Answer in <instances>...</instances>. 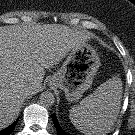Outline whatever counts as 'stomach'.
Returning a JSON list of instances; mask_svg holds the SVG:
<instances>
[{
	"instance_id": "stomach-1",
	"label": "stomach",
	"mask_w": 135,
	"mask_h": 135,
	"mask_svg": "<svg viewBox=\"0 0 135 135\" xmlns=\"http://www.w3.org/2000/svg\"><path fill=\"white\" fill-rule=\"evenodd\" d=\"M100 65L96 50L90 44L84 43L69 53L49 84L63 90L69 102L78 101L91 87Z\"/></svg>"
}]
</instances>
